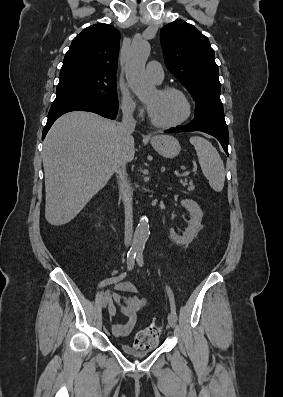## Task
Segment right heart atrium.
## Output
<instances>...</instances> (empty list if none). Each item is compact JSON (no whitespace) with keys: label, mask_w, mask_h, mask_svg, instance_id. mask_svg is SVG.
<instances>
[{"label":"right heart atrium","mask_w":283,"mask_h":397,"mask_svg":"<svg viewBox=\"0 0 283 397\" xmlns=\"http://www.w3.org/2000/svg\"><path fill=\"white\" fill-rule=\"evenodd\" d=\"M120 103L123 113L127 116L139 115L142 112L127 88H122L120 91Z\"/></svg>","instance_id":"obj_1"}]
</instances>
